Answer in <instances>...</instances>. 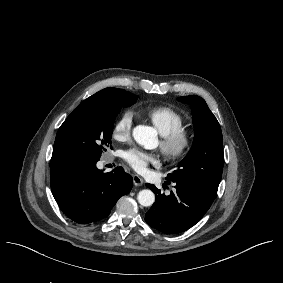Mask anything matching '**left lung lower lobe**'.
<instances>
[{"instance_id": "left-lung-lower-lobe-1", "label": "left lung lower lobe", "mask_w": 283, "mask_h": 283, "mask_svg": "<svg viewBox=\"0 0 283 283\" xmlns=\"http://www.w3.org/2000/svg\"><path fill=\"white\" fill-rule=\"evenodd\" d=\"M154 191L156 201L146 213L145 221L152 228L166 233L177 234L195 225L213 203L193 188L178 184L174 192L166 196L154 185L146 184Z\"/></svg>"}]
</instances>
